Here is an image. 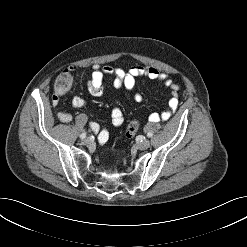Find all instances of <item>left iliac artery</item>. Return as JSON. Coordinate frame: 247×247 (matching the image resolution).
Wrapping results in <instances>:
<instances>
[{"label":"left iliac artery","mask_w":247,"mask_h":247,"mask_svg":"<svg viewBox=\"0 0 247 247\" xmlns=\"http://www.w3.org/2000/svg\"><path fill=\"white\" fill-rule=\"evenodd\" d=\"M152 135H153V134H152L151 132H148V133H147V136H148V137H152Z\"/></svg>","instance_id":"obj_1"}]
</instances>
